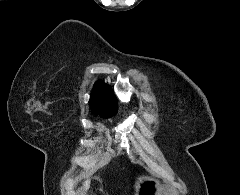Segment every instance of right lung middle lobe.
<instances>
[{"label": "right lung middle lobe", "mask_w": 240, "mask_h": 195, "mask_svg": "<svg viewBox=\"0 0 240 195\" xmlns=\"http://www.w3.org/2000/svg\"><path fill=\"white\" fill-rule=\"evenodd\" d=\"M94 112L99 113L102 117L109 118L116 114L117 105L114 106H98L93 105L91 106Z\"/></svg>", "instance_id": "dd1d6c3e"}]
</instances>
